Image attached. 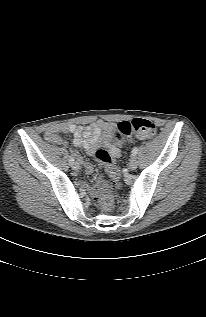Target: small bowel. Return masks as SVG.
<instances>
[{
  "label": "small bowel",
  "mask_w": 206,
  "mask_h": 317,
  "mask_svg": "<svg viewBox=\"0 0 206 317\" xmlns=\"http://www.w3.org/2000/svg\"><path fill=\"white\" fill-rule=\"evenodd\" d=\"M72 134L75 146L83 148L88 155L94 156L99 148H107L112 157L120 155L119 145L112 141V125L106 121L98 120L92 124L81 126L74 124L52 125L44 133L46 140L58 145H65L67 141L60 134ZM79 160H82L78 153H75ZM87 174L92 173V165L84 163ZM99 193L96 186L89 188L91 197L96 198Z\"/></svg>",
  "instance_id": "small-bowel-1"
}]
</instances>
